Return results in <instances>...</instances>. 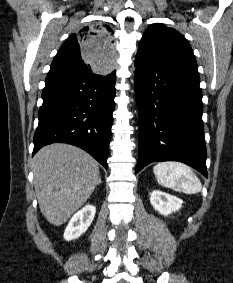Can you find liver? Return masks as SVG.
Instances as JSON below:
<instances>
[{"mask_svg": "<svg viewBox=\"0 0 233 283\" xmlns=\"http://www.w3.org/2000/svg\"><path fill=\"white\" fill-rule=\"evenodd\" d=\"M33 174L40 210L55 226L64 224L99 184L97 161L69 144L41 148L33 158Z\"/></svg>", "mask_w": 233, "mask_h": 283, "instance_id": "1", "label": "liver"}]
</instances>
